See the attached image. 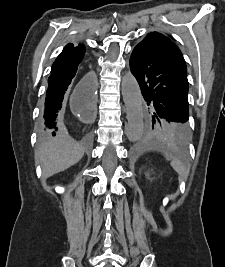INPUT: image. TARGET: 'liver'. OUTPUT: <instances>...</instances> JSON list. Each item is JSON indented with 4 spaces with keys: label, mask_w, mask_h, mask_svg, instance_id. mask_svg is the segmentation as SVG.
<instances>
[{
    "label": "liver",
    "mask_w": 225,
    "mask_h": 267,
    "mask_svg": "<svg viewBox=\"0 0 225 267\" xmlns=\"http://www.w3.org/2000/svg\"><path fill=\"white\" fill-rule=\"evenodd\" d=\"M85 148L68 135L51 139L35 151V160L43 170V179L62 172L81 160Z\"/></svg>",
    "instance_id": "obj_1"
}]
</instances>
